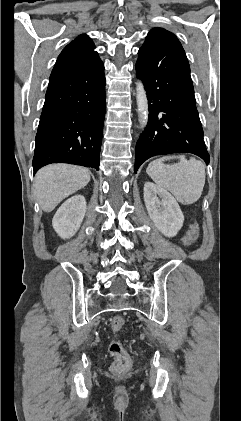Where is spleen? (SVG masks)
<instances>
[{
  "label": "spleen",
  "mask_w": 241,
  "mask_h": 421,
  "mask_svg": "<svg viewBox=\"0 0 241 421\" xmlns=\"http://www.w3.org/2000/svg\"><path fill=\"white\" fill-rule=\"evenodd\" d=\"M170 159L180 161L173 165L163 163ZM146 171L159 187L170 191L181 204H193L202 194L205 166L200 160H187L184 155L163 157L150 162Z\"/></svg>",
  "instance_id": "3e777b00"
}]
</instances>
